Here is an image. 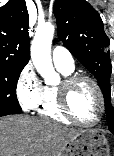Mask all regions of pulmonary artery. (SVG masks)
<instances>
[{
    "label": "pulmonary artery",
    "mask_w": 114,
    "mask_h": 156,
    "mask_svg": "<svg viewBox=\"0 0 114 156\" xmlns=\"http://www.w3.org/2000/svg\"><path fill=\"white\" fill-rule=\"evenodd\" d=\"M52 60L56 67L65 68L67 70L74 69V59L72 54L62 46H56L53 49Z\"/></svg>",
    "instance_id": "1"
}]
</instances>
